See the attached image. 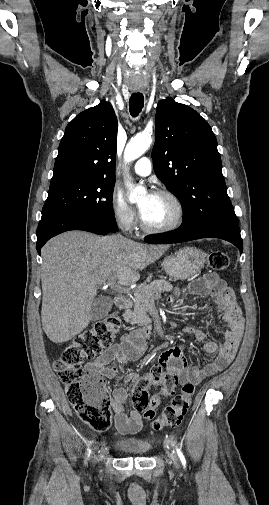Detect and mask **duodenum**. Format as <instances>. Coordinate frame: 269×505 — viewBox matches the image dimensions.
I'll list each match as a JSON object with an SVG mask.
<instances>
[{
    "instance_id": "410a0bca",
    "label": "duodenum",
    "mask_w": 269,
    "mask_h": 505,
    "mask_svg": "<svg viewBox=\"0 0 269 505\" xmlns=\"http://www.w3.org/2000/svg\"><path fill=\"white\" fill-rule=\"evenodd\" d=\"M115 305L119 309H125L130 306V300L128 297L119 295L115 297ZM151 332V327L149 325L143 326L131 334V338L135 341H142L146 339Z\"/></svg>"
}]
</instances>
